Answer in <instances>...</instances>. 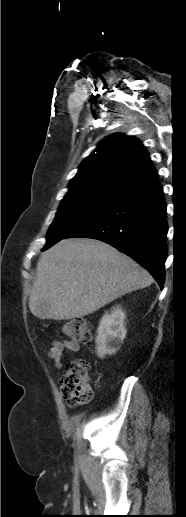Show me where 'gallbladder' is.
<instances>
[{"mask_svg": "<svg viewBox=\"0 0 186 517\" xmlns=\"http://www.w3.org/2000/svg\"><path fill=\"white\" fill-rule=\"evenodd\" d=\"M39 308L41 309V312H42V311H43V309H44V308H46V304H41V305L39 306Z\"/></svg>", "mask_w": 186, "mask_h": 517, "instance_id": "gallbladder-1", "label": "gallbladder"}]
</instances>
